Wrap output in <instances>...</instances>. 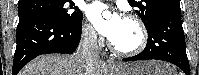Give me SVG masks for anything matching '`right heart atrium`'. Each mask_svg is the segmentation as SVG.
I'll use <instances>...</instances> for the list:
<instances>
[{
	"mask_svg": "<svg viewBox=\"0 0 199 75\" xmlns=\"http://www.w3.org/2000/svg\"><path fill=\"white\" fill-rule=\"evenodd\" d=\"M82 36L83 39L89 44H97L99 41L97 32L93 25L88 21H85L82 25Z\"/></svg>",
	"mask_w": 199,
	"mask_h": 75,
	"instance_id": "1",
	"label": "right heart atrium"
}]
</instances>
